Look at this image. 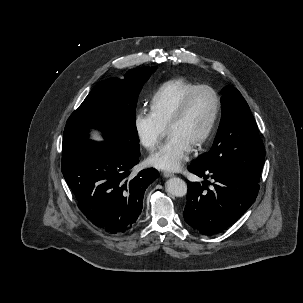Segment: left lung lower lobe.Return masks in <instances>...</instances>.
Wrapping results in <instances>:
<instances>
[{"label": "left lung lower lobe", "mask_w": 303, "mask_h": 303, "mask_svg": "<svg viewBox=\"0 0 303 303\" xmlns=\"http://www.w3.org/2000/svg\"><path fill=\"white\" fill-rule=\"evenodd\" d=\"M189 171L204 179L212 178L214 188L206 183L187 182L184 219L191 227L206 235L217 234L233 224L254 203L259 182L219 166L191 163ZM205 189L207 191H205Z\"/></svg>", "instance_id": "left-lung-lower-lobe-1"}]
</instances>
